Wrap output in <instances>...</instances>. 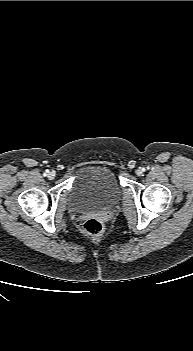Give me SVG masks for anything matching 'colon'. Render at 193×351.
Wrapping results in <instances>:
<instances>
[{"label":"colon","mask_w":193,"mask_h":351,"mask_svg":"<svg viewBox=\"0 0 193 351\" xmlns=\"http://www.w3.org/2000/svg\"><path fill=\"white\" fill-rule=\"evenodd\" d=\"M82 229L88 236L98 237L103 233L104 224L98 218H90L83 223Z\"/></svg>","instance_id":"colon-1"}]
</instances>
